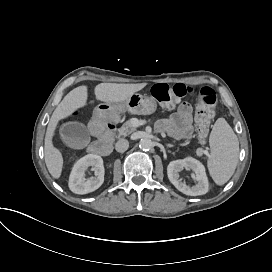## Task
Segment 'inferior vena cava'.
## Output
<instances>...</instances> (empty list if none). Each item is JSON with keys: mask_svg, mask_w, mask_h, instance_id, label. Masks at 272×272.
<instances>
[{"mask_svg": "<svg viewBox=\"0 0 272 272\" xmlns=\"http://www.w3.org/2000/svg\"><path fill=\"white\" fill-rule=\"evenodd\" d=\"M129 147V142L126 139H120L117 141L115 145V149L117 152H125Z\"/></svg>", "mask_w": 272, "mask_h": 272, "instance_id": "1", "label": "inferior vena cava"}]
</instances>
